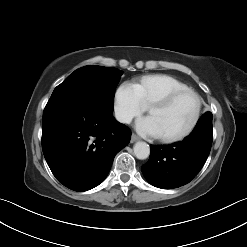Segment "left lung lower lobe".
Segmentation results:
<instances>
[{"mask_svg":"<svg viewBox=\"0 0 247 247\" xmlns=\"http://www.w3.org/2000/svg\"><path fill=\"white\" fill-rule=\"evenodd\" d=\"M213 141L212 113L206 112L183 141L171 145H151L150 158L142 166L147 181L162 189L189 183L206 162Z\"/></svg>","mask_w":247,"mask_h":247,"instance_id":"left-lung-lower-lobe-1","label":"left lung lower lobe"}]
</instances>
